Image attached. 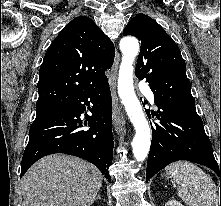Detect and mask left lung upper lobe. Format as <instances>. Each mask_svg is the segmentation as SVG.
Returning <instances> with one entry per match:
<instances>
[{"label": "left lung upper lobe", "mask_w": 221, "mask_h": 206, "mask_svg": "<svg viewBox=\"0 0 221 206\" xmlns=\"http://www.w3.org/2000/svg\"><path fill=\"white\" fill-rule=\"evenodd\" d=\"M123 35H133L141 41L135 74L149 82L155 100L169 108L196 111L185 62L165 30L149 16L138 14L127 24Z\"/></svg>", "instance_id": "5c2ea615"}]
</instances>
